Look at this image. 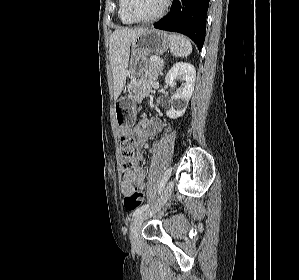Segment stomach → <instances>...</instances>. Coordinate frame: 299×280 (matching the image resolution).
Returning a JSON list of instances; mask_svg holds the SVG:
<instances>
[{
    "label": "stomach",
    "mask_w": 299,
    "mask_h": 280,
    "mask_svg": "<svg viewBox=\"0 0 299 280\" xmlns=\"http://www.w3.org/2000/svg\"><path fill=\"white\" fill-rule=\"evenodd\" d=\"M169 47L166 33L149 29L139 35L131 43V58L128 65L127 76L130 79V95L121 97L115 106V115L120 127L131 126L135 118V102L142 89L139 84L131 90L133 82H139L144 75L148 55L163 53Z\"/></svg>",
    "instance_id": "0dacf381"
}]
</instances>
